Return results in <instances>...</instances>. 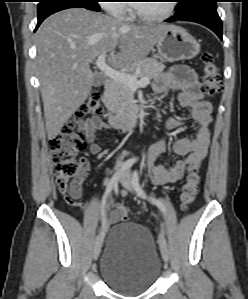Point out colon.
<instances>
[{"label": "colon", "instance_id": "colon-1", "mask_svg": "<svg viewBox=\"0 0 248 299\" xmlns=\"http://www.w3.org/2000/svg\"><path fill=\"white\" fill-rule=\"evenodd\" d=\"M202 60V92L205 97L217 94L221 89V77L210 52H204ZM103 113L98 92H92L79 109L80 116H98ZM84 132L75 122H68L62 130L50 140V152L53 174L58 189L65 195L69 204H74L80 197L82 183L86 174L85 161L79 154L85 149ZM200 186V175L193 169L187 176L181 191V209L186 210L194 201ZM119 219L128 221V210L121 205L118 209Z\"/></svg>", "mask_w": 248, "mask_h": 299}]
</instances>
